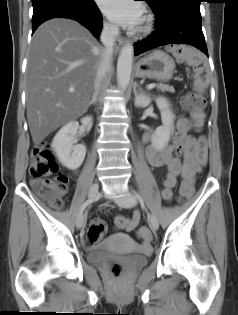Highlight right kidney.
I'll return each instance as SVG.
<instances>
[{"mask_svg": "<svg viewBox=\"0 0 238 315\" xmlns=\"http://www.w3.org/2000/svg\"><path fill=\"white\" fill-rule=\"evenodd\" d=\"M91 121L92 117L87 116L82 118L81 123L89 125ZM78 129V122H69L58 131L51 145L60 163L70 170L79 168L86 155V147L75 144Z\"/></svg>", "mask_w": 238, "mask_h": 315, "instance_id": "obj_1", "label": "right kidney"}]
</instances>
